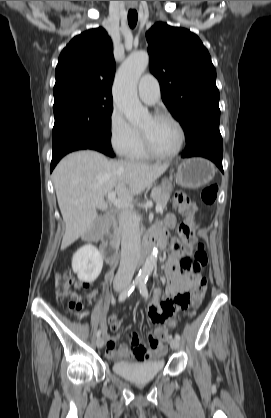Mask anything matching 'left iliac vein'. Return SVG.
I'll return each mask as SVG.
<instances>
[{"instance_id":"left-iliac-vein-1","label":"left iliac vein","mask_w":271,"mask_h":418,"mask_svg":"<svg viewBox=\"0 0 271 418\" xmlns=\"http://www.w3.org/2000/svg\"><path fill=\"white\" fill-rule=\"evenodd\" d=\"M170 347H171L172 349H174V350H178V349H179V347H180L179 340H177L176 338L172 339V340L170 341Z\"/></svg>"}]
</instances>
